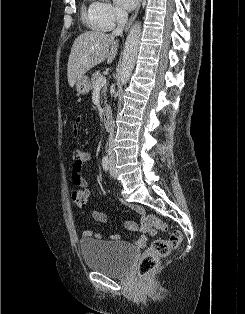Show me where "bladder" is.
Returning a JSON list of instances; mask_svg holds the SVG:
<instances>
[{
  "label": "bladder",
  "instance_id": "bladder-1",
  "mask_svg": "<svg viewBox=\"0 0 245 314\" xmlns=\"http://www.w3.org/2000/svg\"><path fill=\"white\" fill-rule=\"evenodd\" d=\"M79 251L85 265L109 276L124 274L137 257V251L121 242L83 240Z\"/></svg>",
  "mask_w": 245,
  "mask_h": 314
}]
</instances>
